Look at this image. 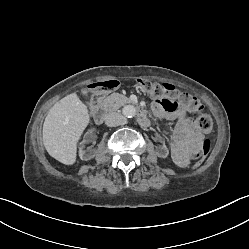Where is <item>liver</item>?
Listing matches in <instances>:
<instances>
[{
	"label": "liver",
	"instance_id": "liver-1",
	"mask_svg": "<svg viewBox=\"0 0 249 249\" xmlns=\"http://www.w3.org/2000/svg\"><path fill=\"white\" fill-rule=\"evenodd\" d=\"M89 122L87 106L76 93L54 104L43 124V144L49 155L65 165H73L77 143Z\"/></svg>",
	"mask_w": 249,
	"mask_h": 249
}]
</instances>
